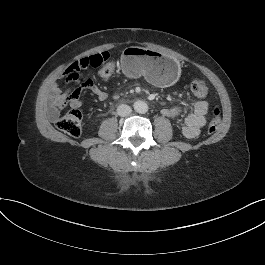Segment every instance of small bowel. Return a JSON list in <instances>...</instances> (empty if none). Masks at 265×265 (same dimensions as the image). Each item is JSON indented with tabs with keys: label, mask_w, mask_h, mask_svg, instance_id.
Segmentation results:
<instances>
[{
	"label": "small bowel",
	"mask_w": 265,
	"mask_h": 265,
	"mask_svg": "<svg viewBox=\"0 0 265 265\" xmlns=\"http://www.w3.org/2000/svg\"><path fill=\"white\" fill-rule=\"evenodd\" d=\"M82 91H89L95 95L98 100L105 101L108 98V93L102 90L91 79L84 80L77 88L72 91H62L58 85H54L50 100V116L54 118L59 109L66 105L72 108L82 106L80 94ZM163 114L170 118H183L182 134L188 139L196 138L201 129L205 126L208 120L209 105L205 100H197L194 102L192 110L188 113L180 105H175L163 110Z\"/></svg>",
	"instance_id": "obj_1"
}]
</instances>
